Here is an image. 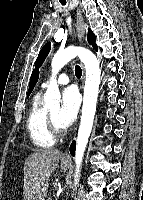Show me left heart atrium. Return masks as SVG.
<instances>
[{
	"instance_id": "obj_1",
	"label": "left heart atrium",
	"mask_w": 143,
	"mask_h": 200,
	"mask_svg": "<svg viewBox=\"0 0 143 200\" xmlns=\"http://www.w3.org/2000/svg\"><path fill=\"white\" fill-rule=\"evenodd\" d=\"M79 105L80 97L76 88H66L62 93V105L57 117L58 123L62 128H67L74 122Z\"/></svg>"
}]
</instances>
